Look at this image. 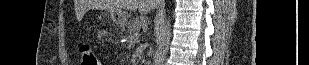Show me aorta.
<instances>
[{
  "mask_svg": "<svg viewBox=\"0 0 309 65\" xmlns=\"http://www.w3.org/2000/svg\"><path fill=\"white\" fill-rule=\"evenodd\" d=\"M157 50L154 55L153 65H163L169 50L171 39V20L167 17L157 27Z\"/></svg>",
  "mask_w": 309,
  "mask_h": 65,
  "instance_id": "762f6f07",
  "label": "aorta"
}]
</instances>
